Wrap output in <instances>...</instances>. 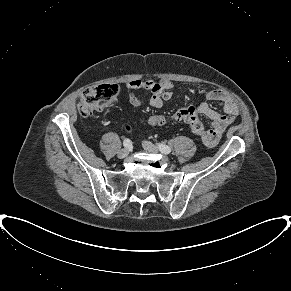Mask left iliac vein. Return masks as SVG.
<instances>
[{
	"mask_svg": "<svg viewBox=\"0 0 291 291\" xmlns=\"http://www.w3.org/2000/svg\"><path fill=\"white\" fill-rule=\"evenodd\" d=\"M142 145H143V148L146 152H149L151 154H158L159 153V149L151 142L143 141Z\"/></svg>",
	"mask_w": 291,
	"mask_h": 291,
	"instance_id": "1",
	"label": "left iliac vein"
}]
</instances>
